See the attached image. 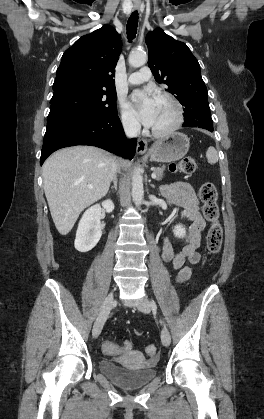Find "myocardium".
Here are the masks:
<instances>
[{
	"instance_id": "obj_1",
	"label": "myocardium",
	"mask_w": 264,
	"mask_h": 419,
	"mask_svg": "<svg viewBox=\"0 0 264 419\" xmlns=\"http://www.w3.org/2000/svg\"><path fill=\"white\" fill-rule=\"evenodd\" d=\"M157 98L168 101L173 106V109H174V120L168 127L161 130L154 129V128L151 129L152 135L156 137H165L172 134L181 126L184 119V111L179 100L170 93L161 92L157 95Z\"/></svg>"
}]
</instances>
